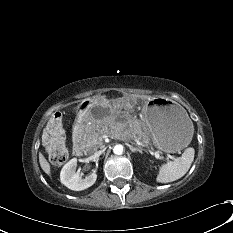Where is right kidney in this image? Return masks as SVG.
I'll list each match as a JSON object with an SVG mask.
<instances>
[{
	"instance_id": "right-kidney-1",
	"label": "right kidney",
	"mask_w": 233,
	"mask_h": 233,
	"mask_svg": "<svg viewBox=\"0 0 233 233\" xmlns=\"http://www.w3.org/2000/svg\"><path fill=\"white\" fill-rule=\"evenodd\" d=\"M76 166V158L71 159L63 166L60 173L61 182L67 188L74 191H81L92 186L97 179V174L95 173V171H93L89 176L81 178L79 173L76 172Z\"/></svg>"
}]
</instances>
